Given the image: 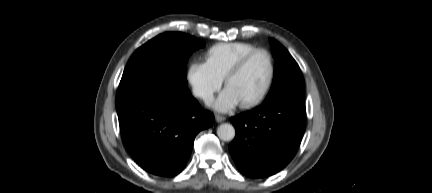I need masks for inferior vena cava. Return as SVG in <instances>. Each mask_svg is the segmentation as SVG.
<instances>
[{"label":"inferior vena cava","instance_id":"obj_1","mask_svg":"<svg viewBox=\"0 0 432 193\" xmlns=\"http://www.w3.org/2000/svg\"><path fill=\"white\" fill-rule=\"evenodd\" d=\"M196 95L202 97L206 101H212L213 100V95L207 91H203V90L197 91Z\"/></svg>","mask_w":432,"mask_h":193}]
</instances>
